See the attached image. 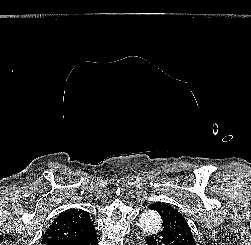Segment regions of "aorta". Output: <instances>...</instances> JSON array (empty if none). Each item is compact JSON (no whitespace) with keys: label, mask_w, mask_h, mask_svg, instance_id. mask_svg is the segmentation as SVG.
I'll use <instances>...</instances> for the list:
<instances>
[{"label":"aorta","mask_w":251,"mask_h":245,"mask_svg":"<svg viewBox=\"0 0 251 245\" xmlns=\"http://www.w3.org/2000/svg\"><path fill=\"white\" fill-rule=\"evenodd\" d=\"M139 225L145 233L154 235L160 231L162 219L157 212L146 211L141 215Z\"/></svg>","instance_id":"1"}]
</instances>
